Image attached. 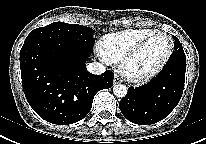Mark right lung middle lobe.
Here are the masks:
<instances>
[{"label":"right lung middle lobe","instance_id":"obj_1","mask_svg":"<svg viewBox=\"0 0 206 144\" xmlns=\"http://www.w3.org/2000/svg\"><path fill=\"white\" fill-rule=\"evenodd\" d=\"M93 35L94 30L89 27L78 24L54 22L45 27L34 29L27 36L25 42L34 39L45 38L92 50L94 44Z\"/></svg>","mask_w":206,"mask_h":144}]
</instances>
